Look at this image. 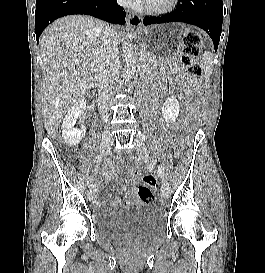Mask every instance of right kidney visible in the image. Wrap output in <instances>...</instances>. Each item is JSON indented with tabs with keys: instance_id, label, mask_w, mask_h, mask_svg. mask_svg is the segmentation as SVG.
Instances as JSON below:
<instances>
[{
	"instance_id": "right-kidney-1",
	"label": "right kidney",
	"mask_w": 265,
	"mask_h": 273,
	"mask_svg": "<svg viewBox=\"0 0 265 273\" xmlns=\"http://www.w3.org/2000/svg\"><path fill=\"white\" fill-rule=\"evenodd\" d=\"M86 110V100L80 99L67 112L62 123V137L68 146H75L80 143L86 133V127L82 124L80 129L74 128L77 119Z\"/></svg>"
}]
</instances>
